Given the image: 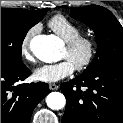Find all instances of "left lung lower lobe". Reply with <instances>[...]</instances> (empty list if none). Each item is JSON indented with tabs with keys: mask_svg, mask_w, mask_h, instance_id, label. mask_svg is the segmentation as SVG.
Masks as SVG:
<instances>
[{
	"mask_svg": "<svg viewBox=\"0 0 123 123\" xmlns=\"http://www.w3.org/2000/svg\"><path fill=\"white\" fill-rule=\"evenodd\" d=\"M61 89L66 97L62 123H123V63L81 74Z\"/></svg>",
	"mask_w": 123,
	"mask_h": 123,
	"instance_id": "left-lung-lower-lobe-1",
	"label": "left lung lower lobe"
}]
</instances>
